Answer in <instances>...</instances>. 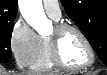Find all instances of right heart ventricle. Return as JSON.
<instances>
[{"instance_id":"obj_1","label":"right heart ventricle","mask_w":107,"mask_h":75,"mask_svg":"<svg viewBox=\"0 0 107 75\" xmlns=\"http://www.w3.org/2000/svg\"><path fill=\"white\" fill-rule=\"evenodd\" d=\"M30 67L33 71H52L56 69L51 60L49 39L47 37H39L38 51Z\"/></svg>"}]
</instances>
